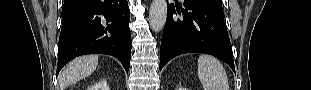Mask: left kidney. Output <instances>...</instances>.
<instances>
[{"mask_svg": "<svg viewBox=\"0 0 311 90\" xmlns=\"http://www.w3.org/2000/svg\"><path fill=\"white\" fill-rule=\"evenodd\" d=\"M179 90H186V88H183V87H182V88H180Z\"/></svg>", "mask_w": 311, "mask_h": 90, "instance_id": "5707ae66", "label": "left kidney"}]
</instances>
